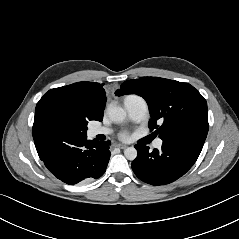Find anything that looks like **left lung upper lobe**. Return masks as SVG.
Wrapping results in <instances>:
<instances>
[{
  "label": "left lung upper lobe",
  "instance_id": "1",
  "mask_svg": "<svg viewBox=\"0 0 239 239\" xmlns=\"http://www.w3.org/2000/svg\"><path fill=\"white\" fill-rule=\"evenodd\" d=\"M115 94H137L149 106V128L163 141L201 151L208 133L207 103L189 83L160 77H141L121 84ZM157 121L162 122L159 127Z\"/></svg>",
  "mask_w": 239,
  "mask_h": 239
}]
</instances>
